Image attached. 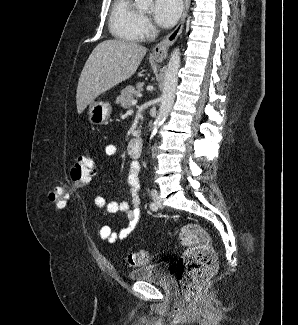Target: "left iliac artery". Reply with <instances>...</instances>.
Returning a JSON list of instances; mask_svg holds the SVG:
<instances>
[{
	"label": "left iliac artery",
	"mask_w": 298,
	"mask_h": 325,
	"mask_svg": "<svg viewBox=\"0 0 298 325\" xmlns=\"http://www.w3.org/2000/svg\"><path fill=\"white\" fill-rule=\"evenodd\" d=\"M150 209L153 211L157 210V206L155 205V203H153V202L150 203Z\"/></svg>",
	"instance_id": "1"
}]
</instances>
